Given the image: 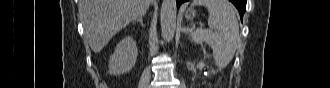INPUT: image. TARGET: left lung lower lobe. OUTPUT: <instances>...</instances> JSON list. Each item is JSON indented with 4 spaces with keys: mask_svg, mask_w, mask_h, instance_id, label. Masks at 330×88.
Masks as SVG:
<instances>
[{
    "mask_svg": "<svg viewBox=\"0 0 330 88\" xmlns=\"http://www.w3.org/2000/svg\"><path fill=\"white\" fill-rule=\"evenodd\" d=\"M186 1H188V0H177V8H179V6L183 2H186ZM230 2H232L236 6V8L239 10L240 17H241V20H242L243 15L245 13L244 4L246 6V0H230Z\"/></svg>",
    "mask_w": 330,
    "mask_h": 88,
    "instance_id": "obj_1",
    "label": "left lung lower lobe"
}]
</instances>
